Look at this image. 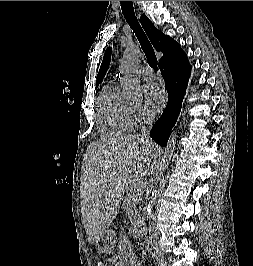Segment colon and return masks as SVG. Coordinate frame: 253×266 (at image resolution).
<instances>
[{"instance_id": "5ec220e1", "label": "colon", "mask_w": 253, "mask_h": 266, "mask_svg": "<svg viewBox=\"0 0 253 266\" xmlns=\"http://www.w3.org/2000/svg\"><path fill=\"white\" fill-rule=\"evenodd\" d=\"M97 266H108L107 263L103 260H100L98 263H97Z\"/></svg>"}]
</instances>
